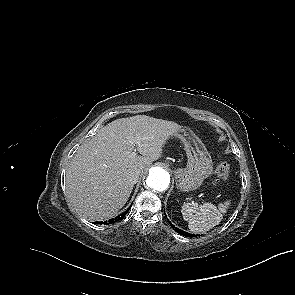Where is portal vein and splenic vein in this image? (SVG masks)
<instances>
[{
    "mask_svg": "<svg viewBox=\"0 0 295 295\" xmlns=\"http://www.w3.org/2000/svg\"><path fill=\"white\" fill-rule=\"evenodd\" d=\"M132 154H133V155H136V153H135V152H133Z\"/></svg>",
    "mask_w": 295,
    "mask_h": 295,
    "instance_id": "portal-vein-and-splenic-vein-1",
    "label": "portal vein and splenic vein"
}]
</instances>
